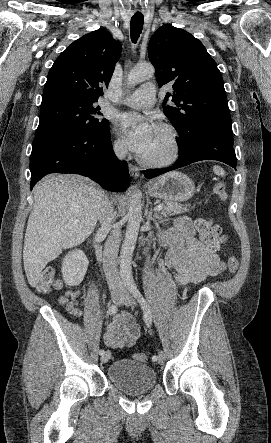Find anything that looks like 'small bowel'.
Here are the masks:
<instances>
[{
  "mask_svg": "<svg viewBox=\"0 0 271 443\" xmlns=\"http://www.w3.org/2000/svg\"><path fill=\"white\" fill-rule=\"evenodd\" d=\"M166 264L176 272V282L185 286L217 276L225 269V263L206 245L194 237L191 220L179 217L166 235ZM61 288V284L57 285ZM79 290L67 291L60 299L66 312L74 318H83L79 308ZM140 334V327L129 313L117 314L106 326L103 335L105 344L111 348H124L134 345Z\"/></svg>",
  "mask_w": 271,
  "mask_h": 443,
  "instance_id": "c3829d8e",
  "label": "small bowel"
}]
</instances>
